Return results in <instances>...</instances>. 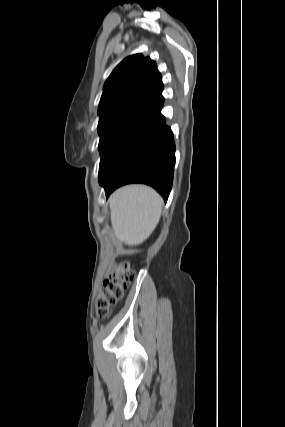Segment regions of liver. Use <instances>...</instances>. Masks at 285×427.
I'll return each mask as SVG.
<instances>
[{
	"label": "liver",
	"instance_id": "liver-1",
	"mask_svg": "<svg viewBox=\"0 0 285 427\" xmlns=\"http://www.w3.org/2000/svg\"><path fill=\"white\" fill-rule=\"evenodd\" d=\"M111 224L118 240L136 246L143 243L156 228L163 200L145 185L124 186L109 199Z\"/></svg>",
	"mask_w": 285,
	"mask_h": 427
}]
</instances>
